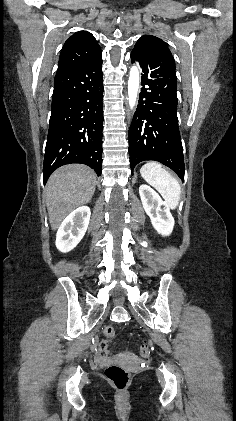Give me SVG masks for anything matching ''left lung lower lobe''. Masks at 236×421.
<instances>
[{
	"mask_svg": "<svg viewBox=\"0 0 236 421\" xmlns=\"http://www.w3.org/2000/svg\"><path fill=\"white\" fill-rule=\"evenodd\" d=\"M132 62L142 68L139 103L129 129L131 170L145 160L171 168L183 181V147L177 117V77L173 56L135 46Z\"/></svg>",
	"mask_w": 236,
	"mask_h": 421,
	"instance_id": "left-lung-lower-lobe-1",
	"label": "left lung lower lobe"
}]
</instances>
